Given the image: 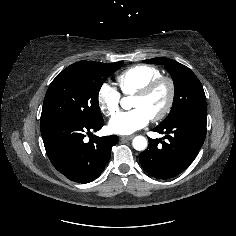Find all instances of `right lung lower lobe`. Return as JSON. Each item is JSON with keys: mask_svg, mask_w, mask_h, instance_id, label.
<instances>
[{"mask_svg": "<svg viewBox=\"0 0 236 236\" xmlns=\"http://www.w3.org/2000/svg\"><path fill=\"white\" fill-rule=\"evenodd\" d=\"M104 120L94 123L74 118H56L41 124L46 153L53 166L75 182L89 183L104 170L110 159L111 148L118 136L92 137L84 142L85 134L100 130Z\"/></svg>", "mask_w": 236, "mask_h": 236, "instance_id": "98d812e1", "label": "right lung lower lobe"}]
</instances>
